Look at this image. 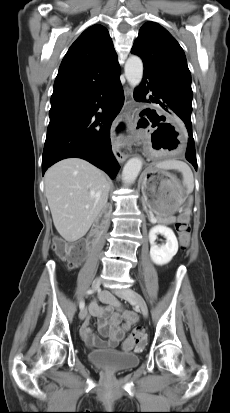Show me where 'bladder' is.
I'll list each match as a JSON object with an SVG mask.
<instances>
[{
	"label": "bladder",
	"instance_id": "bladder-1",
	"mask_svg": "<svg viewBox=\"0 0 230 413\" xmlns=\"http://www.w3.org/2000/svg\"><path fill=\"white\" fill-rule=\"evenodd\" d=\"M88 358L92 364L110 373L130 370L140 362L139 356L134 353L114 350H94Z\"/></svg>",
	"mask_w": 230,
	"mask_h": 413
}]
</instances>
